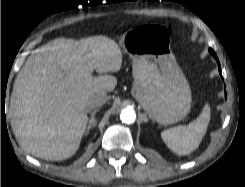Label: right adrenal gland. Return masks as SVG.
I'll use <instances>...</instances> for the list:
<instances>
[{"label":"right adrenal gland","mask_w":245,"mask_h":187,"mask_svg":"<svg viewBox=\"0 0 245 187\" xmlns=\"http://www.w3.org/2000/svg\"><path fill=\"white\" fill-rule=\"evenodd\" d=\"M100 109L97 108V109H94L92 112H91V117H90V120H89V124H88V127H87V132L95 127L96 125V119H95V114L99 111ZM90 112V111H89Z\"/></svg>","instance_id":"1"}]
</instances>
